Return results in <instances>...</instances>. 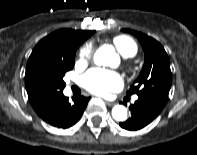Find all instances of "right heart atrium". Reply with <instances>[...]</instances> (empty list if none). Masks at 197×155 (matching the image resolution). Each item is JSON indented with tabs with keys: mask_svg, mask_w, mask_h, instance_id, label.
<instances>
[{
	"mask_svg": "<svg viewBox=\"0 0 197 155\" xmlns=\"http://www.w3.org/2000/svg\"><path fill=\"white\" fill-rule=\"evenodd\" d=\"M93 55V47L91 44L84 45L79 52V61L80 62H88Z\"/></svg>",
	"mask_w": 197,
	"mask_h": 155,
	"instance_id": "d8ad5b80",
	"label": "right heart atrium"
}]
</instances>
